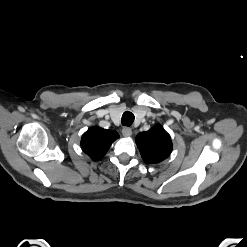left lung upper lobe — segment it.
Wrapping results in <instances>:
<instances>
[{
	"instance_id": "left-lung-upper-lobe-1",
	"label": "left lung upper lobe",
	"mask_w": 247,
	"mask_h": 247,
	"mask_svg": "<svg viewBox=\"0 0 247 247\" xmlns=\"http://www.w3.org/2000/svg\"><path fill=\"white\" fill-rule=\"evenodd\" d=\"M136 144L143 160L151 164L165 160L172 151L170 135L160 125L152 127L147 132L139 133Z\"/></svg>"
}]
</instances>
